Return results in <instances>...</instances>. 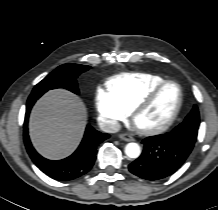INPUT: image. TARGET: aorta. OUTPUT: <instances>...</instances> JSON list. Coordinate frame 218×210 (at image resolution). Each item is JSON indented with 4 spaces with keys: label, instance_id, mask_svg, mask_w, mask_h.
Segmentation results:
<instances>
[{
    "label": "aorta",
    "instance_id": "obj_1",
    "mask_svg": "<svg viewBox=\"0 0 218 210\" xmlns=\"http://www.w3.org/2000/svg\"><path fill=\"white\" fill-rule=\"evenodd\" d=\"M125 154L129 158H138L141 154L140 146L137 143H128L125 146Z\"/></svg>",
    "mask_w": 218,
    "mask_h": 210
}]
</instances>
